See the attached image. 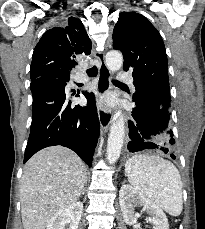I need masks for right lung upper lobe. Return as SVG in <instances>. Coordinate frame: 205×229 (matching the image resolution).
<instances>
[{"label": "right lung upper lobe", "instance_id": "right-lung-upper-lobe-1", "mask_svg": "<svg viewBox=\"0 0 205 229\" xmlns=\"http://www.w3.org/2000/svg\"><path fill=\"white\" fill-rule=\"evenodd\" d=\"M91 40L83 23L69 17L63 27L46 31L36 45L30 68L31 81L48 74L68 76L80 55H89Z\"/></svg>", "mask_w": 205, "mask_h": 229}]
</instances>
